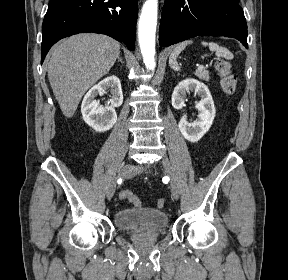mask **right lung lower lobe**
Returning <instances> with one entry per match:
<instances>
[{"mask_svg":"<svg viewBox=\"0 0 288 280\" xmlns=\"http://www.w3.org/2000/svg\"><path fill=\"white\" fill-rule=\"evenodd\" d=\"M138 0H51L42 25L41 64L57 41L77 33L106 34L135 48Z\"/></svg>","mask_w":288,"mask_h":280,"instance_id":"98d812e1","label":"right lung lower lobe"}]
</instances>
